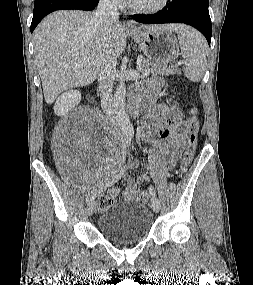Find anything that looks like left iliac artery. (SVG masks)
<instances>
[{
  "instance_id": "left-iliac-artery-1",
  "label": "left iliac artery",
  "mask_w": 253,
  "mask_h": 285,
  "mask_svg": "<svg viewBox=\"0 0 253 285\" xmlns=\"http://www.w3.org/2000/svg\"><path fill=\"white\" fill-rule=\"evenodd\" d=\"M149 193L152 197H155L156 196V191L154 189V187L151 185L149 186Z\"/></svg>"
}]
</instances>
